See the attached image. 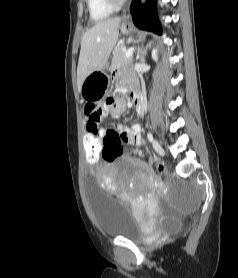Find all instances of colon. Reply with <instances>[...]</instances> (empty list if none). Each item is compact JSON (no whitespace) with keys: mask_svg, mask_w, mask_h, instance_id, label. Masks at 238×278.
Returning a JSON list of instances; mask_svg holds the SVG:
<instances>
[{"mask_svg":"<svg viewBox=\"0 0 238 278\" xmlns=\"http://www.w3.org/2000/svg\"><path fill=\"white\" fill-rule=\"evenodd\" d=\"M107 100H114L108 98ZM105 137H84L83 148L86 156V162H98L101 156L106 161H113L122 154V144L114 142L113 144H105ZM159 171H163V165L158 164Z\"/></svg>","mask_w":238,"mask_h":278,"instance_id":"colon-1","label":"colon"}]
</instances>
